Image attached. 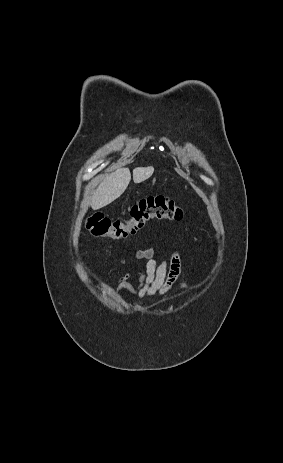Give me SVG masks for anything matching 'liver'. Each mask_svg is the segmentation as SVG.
<instances>
[{
  "instance_id": "obj_1",
  "label": "liver",
  "mask_w": 283,
  "mask_h": 463,
  "mask_svg": "<svg viewBox=\"0 0 283 463\" xmlns=\"http://www.w3.org/2000/svg\"><path fill=\"white\" fill-rule=\"evenodd\" d=\"M154 172L152 166L137 167L133 170V180L141 183L151 177ZM131 180V173L127 168L117 169L108 175L93 193L91 207L98 210L119 198L126 190Z\"/></svg>"
}]
</instances>
